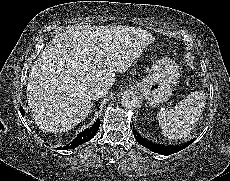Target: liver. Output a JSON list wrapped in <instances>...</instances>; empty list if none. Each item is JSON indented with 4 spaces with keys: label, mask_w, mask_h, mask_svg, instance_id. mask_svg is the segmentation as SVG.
<instances>
[{
    "label": "liver",
    "mask_w": 230,
    "mask_h": 181,
    "mask_svg": "<svg viewBox=\"0 0 230 181\" xmlns=\"http://www.w3.org/2000/svg\"><path fill=\"white\" fill-rule=\"evenodd\" d=\"M153 41L144 30L116 26L84 25L59 33L28 78L27 101L36 124L47 132L68 131L79 124L92 108L90 89L99 85L109 90L115 73L126 71ZM99 51L101 61L96 58Z\"/></svg>",
    "instance_id": "1"
}]
</instances>
